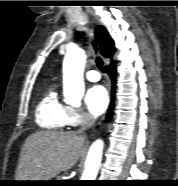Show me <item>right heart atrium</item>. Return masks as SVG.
Segmentation results:
<instances>
[{"label": "right heart atrium", "instance_id": "1", "mask_svg": "<svg viewBox=\"0 0 178 186\" xmlns=\"http://www.w3.org/2000/svg\"><path fill=\"white\" fill-rule=\"evenodd\" d=\"M90 121L89 115L80 108H70L69 125L79 126Z\"/></svg>", "mask_w": 178, "mask_h": 186}]
</instances>
